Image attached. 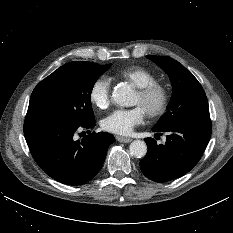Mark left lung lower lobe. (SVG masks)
I'll list each match as a JSON object with an SVG mask.
<instances>
[{
    "instance_id": "0a47b994",
    "label": "left lung lower lobe",
    "mask_w": 233,
    "mask_h": 233,
    "mask_svg": "<svg viewBox=\"0 0 233 233\" xmlns=\"http://www.w3.org/2000/svg\"><path fill=\"white\" fill-rule=\"evenodd\" d=\"M152 131L161 135L168 132L165 144H157L153 138H145L146 156L140 161L143 174L155 181L166 182L189 172L200 160L211 137L210 118L193 117L182 120L167 129Z\"/></svg>"
}]
</instances>
